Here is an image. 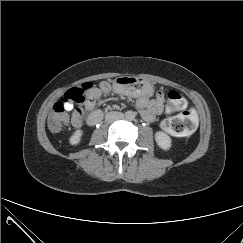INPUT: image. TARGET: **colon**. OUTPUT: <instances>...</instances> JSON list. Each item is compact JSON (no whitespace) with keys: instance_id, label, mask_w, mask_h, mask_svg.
<instances>
[{"instance_id":"1","label":"colon","mask_w":243,"mask_h":243,"mask_svg":"<svg viewBox=\"0 0 243 243\" xmlns=\"http://www.w3.org/2000/svg\"><path fill=\"white\" fill-rule=\"evenodd\" d=\"M100 87L107 89V83L100 84ZM93 85L90 82L82 83L78 86L72 87L66 91L63 100L56 103L53 113L49 116V128L58 132L62 130L69 121L67 105L77 103L80 105L88 104L93 100ZM159 96L163 93L159 92ZM180 112L178 115L164 119L161 122V128L176 136L190 135L197 127V116L193 107H191L185 98L177 91H170L168 93V101L166 105V112ZM82 109L78 108L73 117L81 120Z\"/></svg>"}]
</instances>
